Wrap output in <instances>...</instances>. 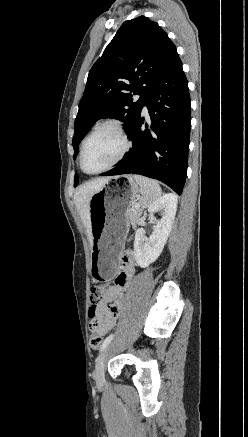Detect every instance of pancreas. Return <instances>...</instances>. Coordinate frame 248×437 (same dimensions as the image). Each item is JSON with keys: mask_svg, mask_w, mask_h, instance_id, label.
<instances>
[{"mask_svg": "<svg viewBox=\"0 0 248 437\" xmlns=\"http://www.w3.org/2000/svg\"><path fill=\"white\" fill-rule=\"evenodd\" d=\"M141 213H142V211L139 209V208H130L129 209V211H128V220H129V222L131 223V225L133 226V227H135L136 226V224L138 223V221H139V218H140V216H141Z\"/></svg>", "mask_w": 248, "mask_h": 437, "instance_id": "pancreas-1", "label": "pancreas"}]
</instances>
